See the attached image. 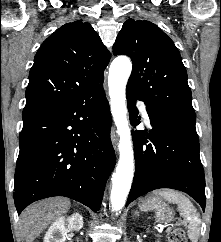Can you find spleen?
Returning <instances> with one entry per match:
<instances>
[{
  "mask_svg": "<svg viewBox=\"0 0 221 242\" xmlns=\"http://www.w3.org/2000/svg\"><path fill=\"white\" fill-rule=\"evenodd\" d=\"M168 202L178 205L181 216L188 222V236L192 242H197L200 233V216L191 201L182 193L172 190L163 189L155 191Z\"/></svg>",
  "mask_w": 221,
  "mask_h": 242,
  "instance_id": "obj_1",
  "label": "spleen"
}]
</instances>
